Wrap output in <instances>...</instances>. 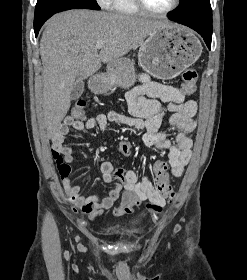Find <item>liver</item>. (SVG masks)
I'll return each mask as SVG.
<instances>
[{
  "instance_id": "liver-1",
  "label": "liver",
  "mask_w": 247,
  "mask_h": 280,
  "mask_svg": "<svg viewBox=\"0 0 247 280\" xmlns=\"http://www.w3.org/2000/svg\"><path fill=\"white\" fill-rule=\"evenodd\" d=\"M172 25L138 17L93 11L68 10L53 16L40 41L43 65V110L48 136L55 134L71 105L76 80L97 72L127 54L161 27ZM103 47L98 53L96 45Z\"/></svg>"
}]
</instances>
